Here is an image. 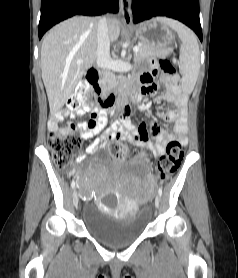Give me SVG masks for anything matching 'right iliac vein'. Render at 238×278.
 I'll use <instances>...</instances> for the list:
<instances>
[{"mask_svg": "<svg viewBox=\"0 0 238 278\" xmlns=\"http://www.w3.org/2000/svg\"><path fill=\"white\" fill-rule=\"evenodd\" d=\"M78 203H79V196H78L77 191H74V193H73V204H74L75 206H77Z\"/></svg>", "mask_w": 238, "mask_h": 278, "instance_id": "63e3f726", "label": "right iliac vein"}]
</instances>
